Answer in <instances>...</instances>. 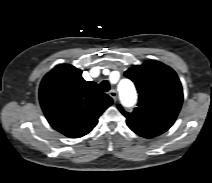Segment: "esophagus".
<instances>
[{"mask_svg":"<svg viewBox=\"0 0 212 183\" xmlns=\"http://www.w3.org/2000/svg\"><path fill=\"white\" fill-rule=\"evenodd\" d=\"M109 95L114 101L117 99V91L116 90L109 91Z\"/></svg>","mask_w":212,"mask_h":183,"instance_id":"34e87169","label":"esophagus"}]
</instances>
